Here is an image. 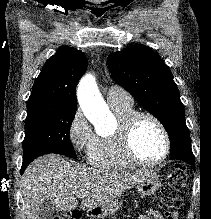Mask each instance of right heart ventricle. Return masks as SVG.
Masks as SVG:
<instances>
[{
	"mask_svg": "<svg viewBox=\"0 0 211 219\" xmlns=\"http://www.w3.org/2000/svg\"><path fill=\"white\" fill-rule=\"evenodd\" d=\"M116 116L119 127L109 135L97 136L95 142L88 152V162L96 167L105 169H126L132 164L124 157L119 138V129L125 119L134 112L133 104L110 105Z\"/></svg>",
	"mask_w": 211,
	"mask_h": 219,
	"instance_id": "obj_1",
	"label": "right heart ventricle"
}]
</instances>
